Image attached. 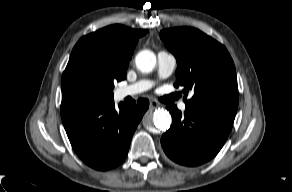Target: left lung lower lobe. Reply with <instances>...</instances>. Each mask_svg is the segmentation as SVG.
<instances>
[{"mask_svg": "<svg viewBox=\"0 0 292 192\" xmlns=\"http://www.w3.org/2000/svg\"><path fill=\"white\" fill-rule=\"evenodd\" d=\"M173 122L162 136L165 154L175 163L194 167L217 155L232 129L235 116L186 108L184 116L168 106Z\"/></svg>", "mask_w": 292, "mask_h": 192, "instance_id": "0a47b994", "label": "left lung lower lobe"}]
</instances>
